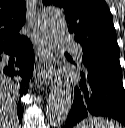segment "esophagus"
<instances>
[{
    "label": "esophagus",
    "mask_w": 125,
    "mask_h": 128,
    "mask_svg": "<svg viewBox=\"0 0 125 128\" xmlns=\"http://www.w3.org/2000/svg\"><path fill=\"white\" fill-rule=\"evenodd\" d=\"M27 22L33 35V43L38 56L37 78L41 84H47L54 68V57L50 43L42 36L37 26L36 2L27 0Z\"/></svg>",
    "instance_id": "34e87169"
}]
</instances>
